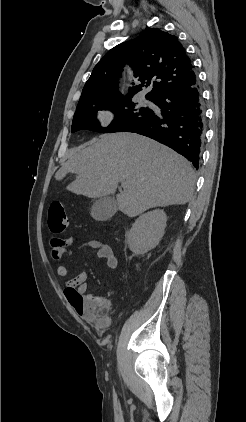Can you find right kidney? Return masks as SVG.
I'll return each mask as SVG.
<instances>
[{
    "label": "right kidney",
    "instance_id": "1",
    "mask_svg": "<svg viewBox=\"0 0 246 422\" xmlns=\"http://www.w3.org/2000/svg\"><path fill=\"white\" fill-rule=\"evenodd\" d=\"M167 216L163 210L156 209L141 215L127 235L130 250L143 255L155 248L164 235Z\"/></svg>",
    "mask_w": 246,
    "mask_h": 422
}]
</instances>
